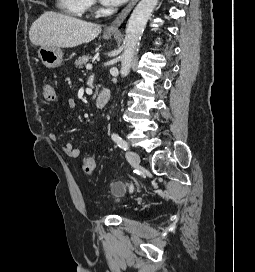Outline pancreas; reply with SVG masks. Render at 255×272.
Masks as SVG:
<instances>
[{
  "label": "pancreas",
  "instance_id": "cf45deb5",
  "mask_svg": "<svg viewBox=\"0 0 255 272\" xmlns=\"http://www.w3.org/2000/svg\"><path fill=\"white\" fill-rule=\"evenodd\" d=\"M91 59H92V57L90 55H84L82 57H79V59L75 61V66L78 68H82L83 65H85L87 62H89ZM96 95H97V92L94 95V97Z\"/></svg>",
  "mask_w": 255,
  "mask_h": 272
}]
</instances>
